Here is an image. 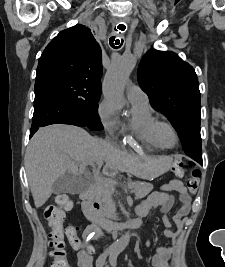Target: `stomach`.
Wrapping results in <instances>:
<instances>
[{
	"instance_id": "0dacf381",
	"label": "stomach",
	"mask_w": 225,
	"mask_h": 267,
	"mask_svg": "<svg viewBox=\"0 0 225 267\" xmlns=\"http://www.w3.org/2000/svg\"><path fill=\"white\" fill-rule=\"evenodd\" d=\"M170 166L169 158H159L152 161L147 168V177L146 178H155L168 170Z\"/></svg>"
}]
</instances>
